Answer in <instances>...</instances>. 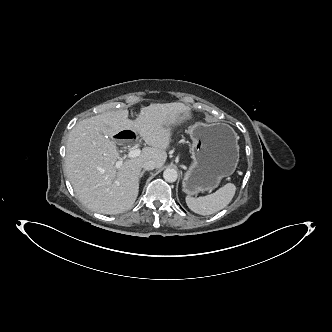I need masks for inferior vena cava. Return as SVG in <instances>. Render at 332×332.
Returning a JSON list of instances; mask_svg holds the SVG:
<instances>
[{"instance_id":"1","label":"inferior vena cava","mask_w":332,"mask_h":332,"mask_svg":"<svg viewBox=\"0 0 332 332\" xmlns=\"http://www.w3.org/2000/svg\"><path fill=\"white\" fill-rule=\"evenodd\" d=\"M142 168L145 170H153L156 168V163L153 160H146L142 163Z\"/></svg>"}]
</instances>
